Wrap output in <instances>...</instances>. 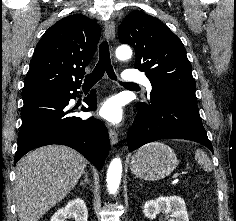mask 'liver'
Masks as SVG:
<instances>
[{
  "label": "liver",
  "mask_w": 236,
  "mask_h": 221,
  "mask_svg": "<svg viewBox=\"0 0 236 221\" xmlns=\"http://www.w3.org/2000/svg\"><path fill=\"white\" fill-rule=\"evenodd\" d=\"M86 164L81 154L66 146H44L24 156L14 185L19 221H38L75 187Z\"/></svg>",
  "instance_id": "1"
}]
</instances>
